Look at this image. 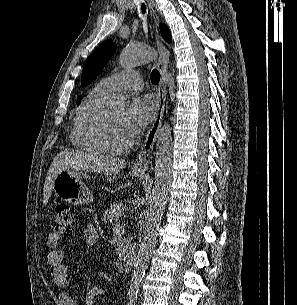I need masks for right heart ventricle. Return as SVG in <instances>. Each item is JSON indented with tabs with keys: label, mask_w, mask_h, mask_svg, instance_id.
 Returning a JSON list of instances; mask_svg holds the SVG:
<instances>
[{
	"label": "right heart ventricle",
	"mask_w": 297,
	"mask_h": 305,
	"mask_svg": "<svg viewBox=\"0 0 297 305\" xmlns=\"http://www.w3.org/2000/svg\"><path fill=\"white\" fill-rule=\"evenodd\" d=\"M109 96L110 94L97 85L75 109L70 133L74 148L91 154L107 152L98 138L96 129Z\"/></svg>",
	"instance_id": "1"
}]
</instances>
